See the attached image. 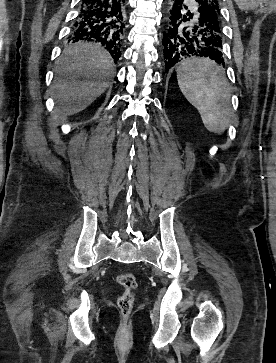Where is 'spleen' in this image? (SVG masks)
<instances>
[{"label": "spleen", "instance_id": "obj_1", "mask_svg": "<svg viewBox=\"0 0 276 363\" xmlns=\"http://www.w3.org/2000/svg\"><path fill=\"white\" fill-rule=\"evenodd\" d=\"M178 85L201 116L205 128L222 134L228 127L230 89L225 71L208 58H191L177 69Z\"/></svg>", "mask_w": 276, "mask_h": 363}]
</instances>
